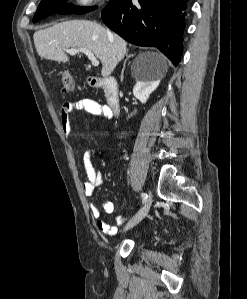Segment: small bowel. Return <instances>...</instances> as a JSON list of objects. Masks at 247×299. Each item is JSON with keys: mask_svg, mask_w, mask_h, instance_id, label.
<instances>
[{"mask_svg": "<svg viewBox=\"0 0 247 299\" xmlns=\"http://www.w3.org/2000/svg\"><path fill=\"white\" fill-rule=\"evenodd\" d=\"M74 111H85L89 114L108 119L111 117L110 108L101 104L95 100L89 98L78 99L75 101H68L63 103L61 107V126L65 137L68 140L74 139L75 133L71 126L70 116ZM83 164L86 173V181L83 184V193L89 197L94 194L95 189L103 184V176L96 169L93 163V152L88 151L83 157ZM102 210L96 206L90 205V212L92 217L95 219L97 228L107 234L114 235L117 232V227L112 226L107 222L106 214H111L114 211V203L112 201H104L102 203ZM127 218L123 215H118L115 219L117 225H122Z\"/></svg>", "mask_w": 247, "mask_h": 299, "instance_id": "1", "label": "small bowel"}]
</instances>
